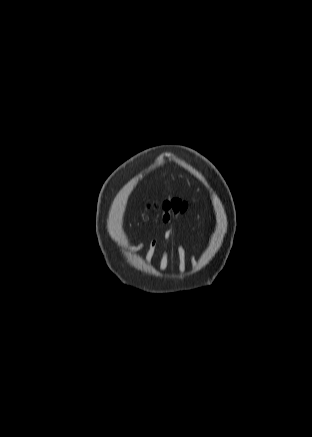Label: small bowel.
Listing matches in <instances>:
<instances>
[{"label": "small bowel", "mask_w": 312, "mask_h": 437, "mask_svg": "<svg viewBox=\"0 0 312 437\" xmlns=\"http://www.w3.org/2000/svg\"><path fill=\"white\" fill-rule=\"evenodd\" d=\"M171 235V233L170 232H168L167 234H166V237H169ZM157 244H158V241H157V239H152L151 241H150V243H149V250H148V252H149V254L150 255H152L154 252H155V250H156V248H157ZM143 244L142 243H139V244H136V245H134L133 247H132V250L133 251H138V250H140V249H142L143 248Z\"/></svg>", "instance_id": "1"}]
</instances>
